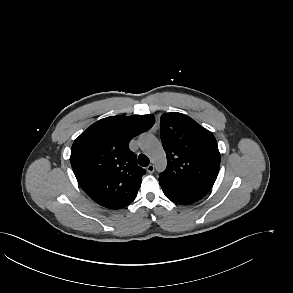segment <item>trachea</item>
<instances>
[{
	"mask_svg": "<svg viewBox=\"0 0 293 293\" xmlns=\"http://www.w3.org/2000/svg\"><path fill=\"white\" fill-rule=\"evenodd\" d=\"M149 158L144 155V154H140L139 157H138V163L140 166L142 167H146L149 165Z\"/></svg>",
	"mask_w": 293,
	"mask_h": 293,
	"instance_id": "3493384b",
	"label": "trachea"
}]
</instances>
